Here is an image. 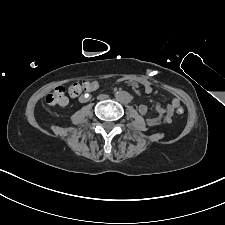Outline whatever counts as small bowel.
Listing matches in <instances>:
<instances>
[{"label":"small bowel","instance_id":"obj_1","mask_svg":"<svg viewBox=\"0 0 225 225\" xmlns=\"http://www.w3.org/2000/svg\"><path fill=\"white\" fill-rule=\"evenodd\" d=\"M92 83H93V87L87 92L94 91L95 89L98 88V86H99L98 81L92 80ZM142 85H143L144 91L146 93L149 94L152 92V86L149 82H144ZM87 95H83L80 98V100L81 101L87 100V97H88ZM179 106H181V102L177 96H174L171 103L169 105H167L166 107H162V105L160 103H156L155 109L159 113V116L157 118L147 119V124L150 126H153L160 122H165V123L173 122V120L175 118L176 108ZM138 110H139L140 114L144 115V116L147 115V113H148V107L146 105H140Z\"/></svg>","mask_w":225,"mask_h":225}]
</instances>
